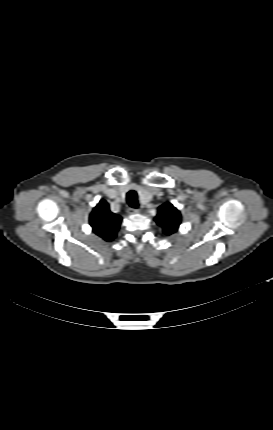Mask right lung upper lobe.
I'll list each match as a JSON object with an SVG mask.
<instances>
[{
    "mask_svg": "<svg viewBox=\"0 0 273 430\" xmlns=\"http://www.w3.org/2000/svg\"><path fill=\"white\" fill-rule=\"evenodd\" d=\"M121 217L110 212L108 203L100 200L90 215L93 232L106 241H111L117 233Z\"/></svg>",
    "mask_w": 273,
    "mask_h": 430,
    "instance_id": "1",
    "label": "right lung upper lobe"
}]
</instances>
